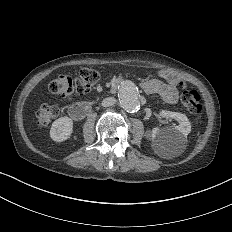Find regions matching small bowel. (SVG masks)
Listing matches in <instances>:
<instances>
[{
  "mask_svg": "<svg viewBox=\"0 0 232 232\" xmlns=\"http://www.w3.org/2000/svg\"><path fill=\"white\" fill-rule=\"evenodd\" d=\"M142 87L147 94H158L162 100L167 103L176 101V88L173 83L162 82L158 79H145L142 82Z\"/></svg>",
  "mask_w": 232,
  "mask_h": 232,
  "instance_id": "1",
  "label": "small bowel"
}]
</instances>
